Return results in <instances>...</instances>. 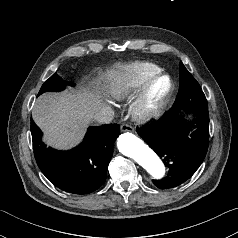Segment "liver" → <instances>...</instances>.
I'll return each mask as SVG.
<instances>
[{
  "mask_svg": "<svg viewBox=\"0 0 238 238\" xmlns=\"http://www.w3.org/2000/svg\"><path fill=\"white\" fill-rule=\"evenodd\" d=\"M105 107L99 94L87 89L45 93L36 100L32 117L47 145L67 150L82 141L94 114Z\"/></svg>",
  "mask_w": 238,
  "mask_h": 238,
  "instance_id": "6515ba94",
  "label": "liver"
}]
</instances>
